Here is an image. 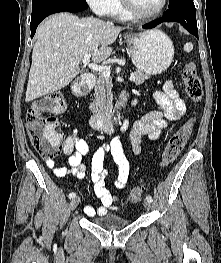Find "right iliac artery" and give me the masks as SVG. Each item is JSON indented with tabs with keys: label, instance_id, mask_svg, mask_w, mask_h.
<instances>
[{
	"label": "right iliac artery",
	"instance_id": "right-iliac-artery-1",
	"mask_svg": "<svg viewBox=\"0 0 221 263\" xmlns=\"http://www.w3.org/2000/svg\"><path fill=\"white\" fill-rule=\"evenodd\" d=\"M75 196H76V194H75L74 192H71V193L69 194V198H70V199H73Z\"/></svg>",
	"mask_w": 221,
	"mask_h": 263
}]
</instances>
